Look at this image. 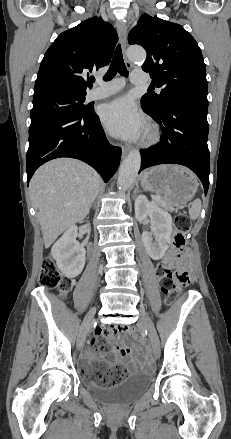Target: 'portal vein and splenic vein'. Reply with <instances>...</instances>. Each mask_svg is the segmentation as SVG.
Returning <instances> with one entry per match:
<instances>
[{
  "mask_svg": "<svg viewBox=\"0 0 231 439\" xmlns=\"http://www.w3.org/2000/svg\"><path fill=\"white\" fill-rule=\"evenodd\" d=\"M152 198L155 199V200H160V197H159V196H155V195H153Z\"/></svg>",
  "mask_w": 231,
  "mask_h": 439,
  "instance_id": "1",
  "label": "portal vein and splenic vein"
}]
</instances>
